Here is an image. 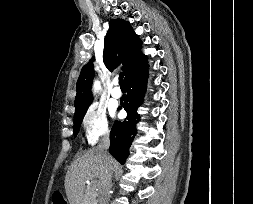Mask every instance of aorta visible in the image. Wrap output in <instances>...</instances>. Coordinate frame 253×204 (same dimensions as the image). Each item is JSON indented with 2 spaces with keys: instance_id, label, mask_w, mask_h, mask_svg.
I'll use <instances>...</instances> for the list:
<instances>
[{
  "instance_id": "aorta-1",
  "label": "aorta",
  "mask_w": 253,
  "mask_h": 204,
  "mask_svg": "<svg viewBox=\"0 0 253 204\" xmlns=\"http://www.w3.org/2000/svg\"><path fill=\"white\" fill-rule=\"evenodd\" d=\"M100 89V82L99 81H95L94 82V90H99Z\"/></svg>"
}]
</instances>
